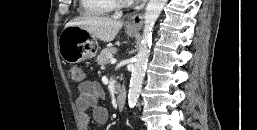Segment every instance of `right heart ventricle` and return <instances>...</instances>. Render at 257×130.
<instances>
[{"mask_svg":"<svg viewBox=\"0 0 257 130\" xmlns=\"http://www.w3.org/2000/svg\"><path fill=\"white\" fill-rule=\"evenodd\" d=\"M110 0H80V11L93 16L108 15L114 10Z\"/></svg>","mask_w":257,"mask_h":130,"instance_id":"obj_1","label":"right heart ventricle"}]
</instances>
